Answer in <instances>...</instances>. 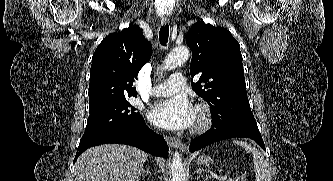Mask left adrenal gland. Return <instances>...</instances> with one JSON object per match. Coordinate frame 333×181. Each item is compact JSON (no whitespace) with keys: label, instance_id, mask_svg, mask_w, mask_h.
<instances>
[{"label":"left adrenal gland","instance_id":"a2214340","mask_svg":"<svg viewBox=\"0 0 333 181\" xmlns=\"http://www.w3.org/2000/svg\"><path fill=\"white\" fill-rule=\"evenodd\" d=\"M197 174H198V179L200 178V177H204V178H207V176H205V174H203L201 171H197Z\"/></svg>","mask_w":333,"mask_h":181}]
</instances>
